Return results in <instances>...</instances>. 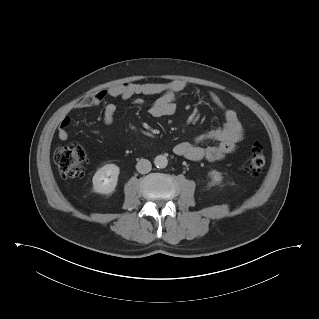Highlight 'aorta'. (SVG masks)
<instances>
[{"label":"aorta","mask_w":319,"mask_h":319,"mask_svg":"<svg viewBox=\"0 0 319 319\" xmlns=\"http://www.w3.org/2000/svg\"><path fill=\"white\" fill-rule=\"evenodd\" d=\"M154 164L157 168H165L168 164V160L164 155H158L154 159Z\"/></svg>","instance_id":"762f6f07"}]
</instances>
